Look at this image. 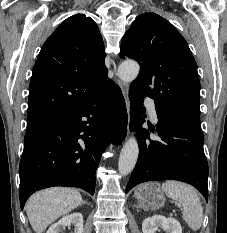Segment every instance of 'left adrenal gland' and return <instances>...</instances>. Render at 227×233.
Wrapping results in <instances>:
<instances>
[{"mask_svg":"<svg viewBox=\"0 0 227 233\" xmlns=\"http://www.w3.org/2000/svg\"><path fill=\"white\" fill-rule=\"evenodd\" d=\"M136 208L138 209V208H139V205H137Z\"/></svg>","mask_w":227,"mask_h":233,"instance_id":"left-adrenal-gland-1","label":"left adrenal gland"}]
</instances>
